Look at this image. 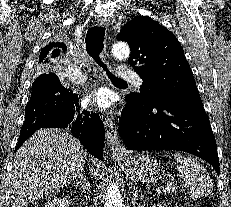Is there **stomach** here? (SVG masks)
<instances>
[{
  "label": "stomach",
  "instance_id": "stomach-1",
  "mask_svg": "<svg viewBox=\"0 0 231 207\" xmlns=\"http://www.w3.org/2000/svg\"><path fill=\"white\" fill-rule=\"evenodd\" d=\"M118 164L130 179L140 183H151L160 174V165L147 153L124 155Z\"/></svg>",
  "mask_w": 231,
  "mask_h": 207
}]
</instances>
